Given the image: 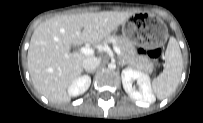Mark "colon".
<instances>
[{
  "label": "colon",
  "instance_id": "obj_1",
  "mask_svg": "<svg viewBox=\"0 0 203 123\" xmlns=\"http://www.w3.org/2000/svg\"><path fill=\"white\" fill-rule=\"evenodd\" d=\"M160 55H161L160 49H154L149 52L150 58H152L154 61H157Z\"/></svg>",
  "mask_w": 203,
  "mask_h": 123
}]
</instances>
